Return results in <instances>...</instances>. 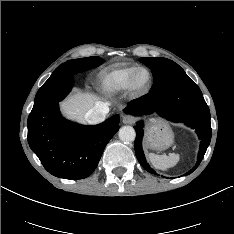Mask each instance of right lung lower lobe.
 Wrapping results in <instances>:
<instances>
[{"label": "right lung lower lobe", "mask_w": 234, "mask_h": 234, "mask_svg": "<svg viewBox=\"0 0 234 234\" xmlns=\"http://www.w3.org/2000/svg\"><path fill=\"white\" fill-rule=\"evenodd\" d=\"M73 75L54 71L38 90L28 117V143L44 168L65 179H83L97 167L103 150L119 130V115L94 126L63 118L58 102L70 92Z\"/></svg>", "instance_id": "right-lung-lower-lobe-1"}]
</instances>
